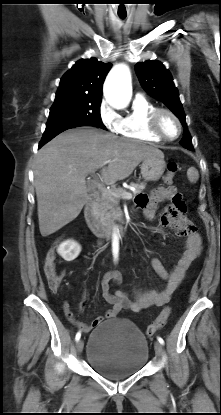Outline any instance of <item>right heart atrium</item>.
I'll return each instance as SVG.
<instances>
[{
    "label": "right heart atrium",
    "instance_id": "d8ad5b80",
    "mask_svg": "<svg viewBox=\"0 0 221 415\" xmlns=\"http://www.w3.org/2000/svg\"><path fill=\"white\" fill-rule=\"evenodd\" d=\"M99 118L102 125L111 132H118L120 124L119 114L105 101L99 106Z\"/></svg>",
    "mask_w": 221,
    "mask_h": 415
}]
</instances>
